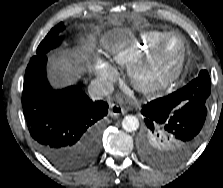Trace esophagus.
I'll return each mask as SVG.
<instances>
[{
	"mask_svg": "<svg viewBox=\"0 0 223 188\" xmlns=\"http://www.w3.org/2000/svg\"><path fill=\"white\" fill-rule=\"evenodd\" d=\"M126 112V110L118 104L115 103H110L109 105V115L112 117H117L121 114H124Z\"/></svg>",
	"mask_w": 223,
	"mask_h": 188,
	"instance_id": "1",
	"label": "esophagus"
}]
</instances>
